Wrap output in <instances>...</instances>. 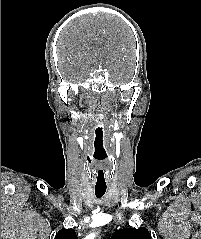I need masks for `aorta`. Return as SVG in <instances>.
I'll list each match as a JSON object with an SVG mask.
<instances>
[{
	"label": "aorta",
	"mask_w": 201,
	"mask_h": 239,
	"mask_svg": "<svg viewBox=\"0 0 201 239\" xmlns=\"http://www.w3.org/2000/svg\"><path fill=\"white\" fill-rule=\"evenodd\" d=\"M94 237H95V234L93 233V234H90V235H88L86 238H84V239H94Z\"/></svg>",
	"instance_id": "762f6f07"
}]
</instances>
